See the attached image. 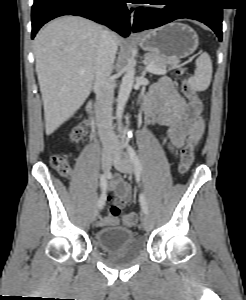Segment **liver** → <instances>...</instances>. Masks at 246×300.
Listing matches in <instances>:
<instances>
[{
  "mask_svg": "<svg viewBox=\"0 0 246 300\" xmlns=\"http://www.w3.org/2000/svg\"><path fill=\"white\" fill-rule=\"evenodd\" d=\"M102 31L100 25L88 19L63 16L36 35V73L47 135L72 117L89 96ZM112 37L118 46L119 37L115 33Z\"/></svg>",
  "mask_w": 246,
  "mask_h": 300,
  "instance_id": "1",
  "label": "liver"
}]
</instances>
